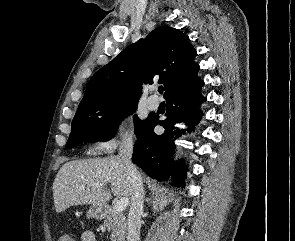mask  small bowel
<instances>
[{"label":"small bowel","instance_id":"c3829d8e","mask_svg":"<svg viewBox=\"0 0 295 241\" xmlns=\"http://www.w3.org/2000/svg\"><path fill=\"white\" fill-rule=\"evenodd\" d=\"M82 241H96L95 234L92 231H84L81 236ZM59 241H64L63 236L60 237Z\"/></svg>","mask_w":295,"mask_h":241}]
</instances>
